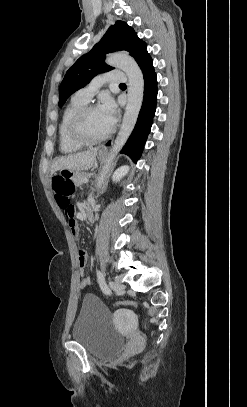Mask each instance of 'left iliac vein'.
Wrapping results in <instances>:
<instances>
[{
    "mask_svg": "<svg viewBox=\"0 0 247 407\" xmlns=\"http://www.w3.org/2000/svg\"><path fill=\"white\" fill-rule=\"evenodd\" d=\"M109 286L113 291L117 293H121L125 290V286L118 281H111L109 283Z\"/></svg>",
    "mask_w": 247,
    "mask_h": 407,
    "instance_id": "obj_1",
    "label": "left iliac vein"
}]
</instances>
